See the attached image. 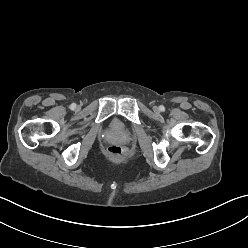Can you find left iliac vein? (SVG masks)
Instances as JSON below:
<instances>
[{
    "label": "left iliac vein",
    "mask_w": 248,
    "mask_h": 248,
    "mask_svg": "<svg viewBox=\"0 0 248 248\" xmlns=\"http://www.w3.org/2000/svg\"><path fill=\"white\" fill-rule=\"evenodd\" d=\"M154 111H155V112H159V111H160L159 107L155 106V107H154Z\"/></svg>",
    "instance_id": "4c4485c4"
}]
</instances>
